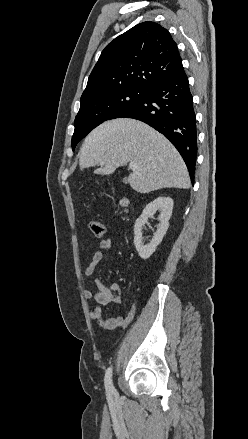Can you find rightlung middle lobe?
<instances>
[{"label": "right lung middle lobe", "instance_id": "1", "mask_svg": "<svg viewBox=\"0 0 248 439\" xmlns=\"http://www.w3.org/2000/svg\"><path fill=\"white\" fill-rule=\"evenodd\" d=\"M146 91L137 87L122 88L80 104L74 123L72 150L95 127L104 121L120 117L133 107Z\"/></svg>", "mask_w": 248, "mask_h": 439}]
</instances>
